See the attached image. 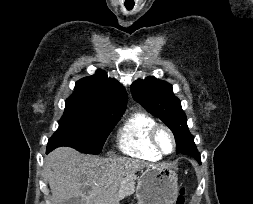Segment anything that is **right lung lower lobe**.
<instances>
[{
  "instance_id": "obj_1",
  "label": "right lung lower lobe",
  "mask_w": 253,
  "mask_h": 204,
  "mask_svg": "<svg viewBox=\"0 0 253 204\" xmlns=\"http://www.w3.org/2000/svg\"><path fill=\"white\" fill-rule=\"evenodd\" d=\"M49 151H51V150L47 148V153H48Z\"/></svg>"
}]
</instances>
